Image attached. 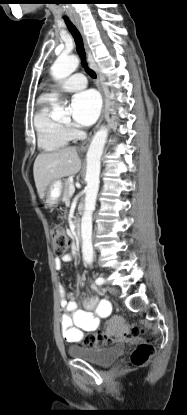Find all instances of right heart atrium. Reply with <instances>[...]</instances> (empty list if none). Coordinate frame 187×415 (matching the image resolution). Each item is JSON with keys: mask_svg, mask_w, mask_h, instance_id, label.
I'll return each instance as SVG.
<instances>
[{"mask_svg": "<svg viewBox=\"0 0 187 415\" xmlns=\"http://www.w3.org/2000/svg\"><path fill=\"white\" fill-rule=\"evenodd\" d=\"M66 128L68 132L71 134V136H75L77 134V130L73 126L68 125Z\"/></svg>", "mask_w": 187, "mask_h": 415, "instance_id": "d8ad5b80", "label": "right heart atrium"}]
</instances>
